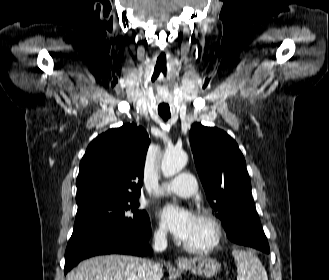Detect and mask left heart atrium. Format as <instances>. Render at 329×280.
<instances>
[{
  "label": "left heart atrium",
  "mask_w": 329,
  "mask_h": 280,
  "mask_svg": "<svg viewBox=\"0 0 329 280\" xmlns=\"http://www.w3.org/2000/svg\"><path fill=\"white\" fill-rule=\"evenodd\" d=\"M160 219L177 239L186 242L194 229L197 217L188 208L168 204L161 210Z\"/></svg>",
  "instance_id": "1"
}]
</instances>
